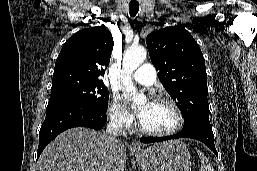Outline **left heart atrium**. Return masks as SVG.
I'll return each instance as SVG.
<instances>
[{"label":"left heart atrium","mask_w":257,"mask_h":171,"mask_svg":"<svg viewBox=\"0 0 257 171\" xmlns=\"http://www.w3.org/2000/svg\"><path fill=\"white\" fill-rule=\"evenodd\" d=\"M143 113H144V108H139L137 110V115H138L139 118L143 115Z\"/></svg>","instance_id":"39dd6f15"}]
</instances>
